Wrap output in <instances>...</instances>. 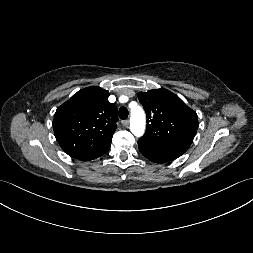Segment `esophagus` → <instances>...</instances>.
Listing matches in <instances>:
<instances>
[{
    "instance_id": "obj_1",
    "label": "esophagus",
    "mask_w": 253,
    "mask_h": 253,
    "mask_svg": "<svg viewBox=\"0 0 253 253\" xmlns=\"http://www.w3.org/2000/svg\"><path fill=\"white\" fill-rule=\"evenodd\" d=\"M122 125L127 127L129 125V120H123Z\"/></svg>"
}]
</instances>
